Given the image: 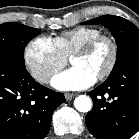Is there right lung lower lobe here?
<instances>
[{
  "mask_svg": "<svg viewBox=\"0 0 139 139\" xmlns=\"http://www.w3.org/2000/svg\"><path fill=\"white\" fill-rule=\"evenodd\" d=\"M64 95L37 83L25 63L0 57V139H43Z\"/></svg>",
  "mask_w": 139,
  "mask_h": 139,
  "instance_id": "1",
  "label": "right lung lower lobe"
}]
</instances>
